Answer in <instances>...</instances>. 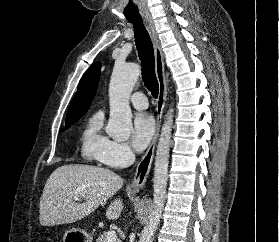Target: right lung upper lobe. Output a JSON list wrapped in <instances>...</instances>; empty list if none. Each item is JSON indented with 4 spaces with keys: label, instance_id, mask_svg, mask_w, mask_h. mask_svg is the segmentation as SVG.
Segmentation results:
<instances>
[{
    "label": "right lung upper lobe",
    "instance_id": "right-lung-upper-lobe-1",
    "mask_svg": "<svg viewBox=\"0 0 279 242\" xmlns=\"http://www.w3.org/2000/svg\"><path fill=\"white\" fill-rule=\"evenodd\" d=\"M100 76V63H93L81 78L77 92L72 100L66 123L76 122L88 110L95 95Z\"/></svg>",
    "mask_w": 279,
    "mask_h": 242
}]
</instances>
